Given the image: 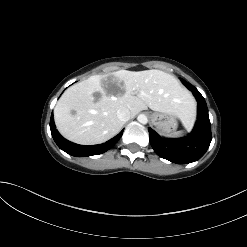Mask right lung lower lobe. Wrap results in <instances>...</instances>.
Returning <instances> with one entry per match:
<instances>
[{"label":"right lung lower lobe","mask_w":247,"mask_h":247,"mask_svg":"<svg viewBox=\"0 0 247 247\" xmlns=\"http://www.w3.org/2000/svg\"><path fill=\"white\" fill-rule=\"evenodd\" d=\"M50 129H51L52 137L55 143L58 145V147L63 151H65L66 153L77 157L98 155L106 152L117 143V141L120 139L123 133L122 130L117 136H115L114 138L103 144L83 146L69 142L59 134L54 124L53 114L51 115V119H50Z\"/></svg>","instance_id":"98d812e1"}]
</instances>
